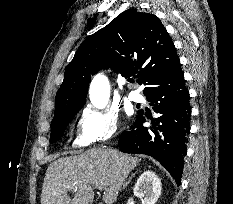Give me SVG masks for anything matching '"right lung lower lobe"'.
Instances as JSON below:
<instances>
[{
  "mask_svg": "<svg viewBox=\"0 0 233 204\" xmlns=\"http://www.w3.org/2000/svg\"><path fill=\"white\" fill-rule=\"evenodd\" d=\"M147 100L160 117L144 127L143 112L129 131L119 138L125 153L146 154L157 159L174 177L177 185L183 173L190 131L191 107L180 61L159 74L144 89Z\"/></svg>",
  "mask_w": 233,
  "mask_h": 204,
  "instance_id": "98d812e1",
  "label": "right lung lower lobe"
}]
</instances>
